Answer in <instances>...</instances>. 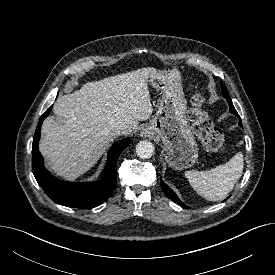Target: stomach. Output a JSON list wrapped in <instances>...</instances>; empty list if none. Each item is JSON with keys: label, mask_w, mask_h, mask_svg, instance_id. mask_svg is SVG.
<instances>
[{"label": "stomach", "mask_w": 275, "mask_h": 275, "mask_svg": "<svg viewBox=\"0 0 275 275\" xmlns=\"http://www.w3.org/2000/svg\"><path fill=\"white\" fill-rule=\"evenodd\" d=\"M151 85L161 91L162 99L155 116L143 129L163 143L165 160L176 170L187 169L198 158V147L187 118V104L181 74L177 69L153 70Z\"/></svg>", "instance_id": "1"}]
</instances>
